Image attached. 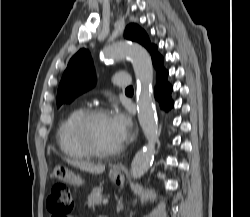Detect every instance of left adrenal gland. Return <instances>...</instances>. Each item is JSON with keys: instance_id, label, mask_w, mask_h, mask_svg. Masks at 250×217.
I'll return each instance as SVG.
<instances>
[{"instance_id": "a2214340", "label": "left adrenal gland", "mask_w": 250, "mask_h": 217, "mask_svg": "<svg viewBox=\"0 0 250 217\" xmlns=\"http://www.w3.org/2000/svg\"><path fill=\"white\" fill-rule=\"evenodd\" d=\"M117 208L120 210L123 208L121 200L118 201Z\"/></svg>"}]
</instances>
